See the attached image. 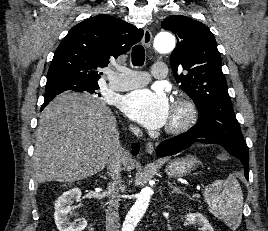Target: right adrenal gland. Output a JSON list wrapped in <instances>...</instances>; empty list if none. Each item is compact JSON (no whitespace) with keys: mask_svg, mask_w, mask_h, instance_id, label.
<instances>
[{"mask_svg":"<svg viewBox=\"0 0 268 231\" xmlns=\"http://www.w3.org/2000/svg\"><path fill=\"white\" fill-rule=\"evenodd\" d=\"M101 178H103L104 180H107V176L105 175H100Z\"/></svg>","mask_w":268,"mask_h":231,"instance_id":"1","label":"right adrenal gland"}]
</instances>
